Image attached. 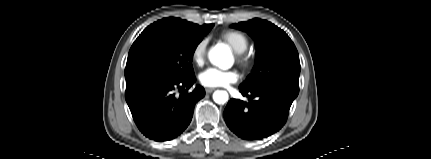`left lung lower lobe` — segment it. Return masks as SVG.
<instances>
[{"label": "left lung lower lobe", "instance_id": "0a47b994", "mask_svg": "<svg viewBox=\"0 0 431 159\" xmlns=\"http://www.w3.org/2000/svg\"><path fill=\"white\" fill-rule=\"evenodd\" d=\"M239 88L249 102L231 99L224 110V119L229 129L245 140H259L279 131L299 93V88L281 82L249 90Z\"/></svg>", "mask_w": 431, "mask_h": 159}]
</instances>
